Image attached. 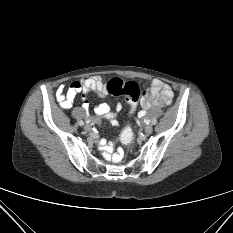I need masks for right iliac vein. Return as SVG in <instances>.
Masks as SVG:
<instances>
[{"mask_svg": "<svg viewBox=\"0 0 233 233\" xmlns=\"http://www.w3.org/2000/svg\"><path fill=\"white\" fill-rule=\"evenodd\" d=\"M84 129L86 130V131H91V126L90 125H88V124H86L85 126H84Z\"/></svg>", "mask_w": 233, "mask_h": 233, "instance_id": "1", "label": "right iliac vein"}]
</instances>
